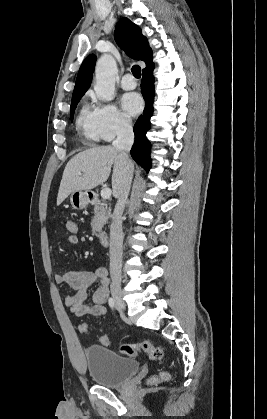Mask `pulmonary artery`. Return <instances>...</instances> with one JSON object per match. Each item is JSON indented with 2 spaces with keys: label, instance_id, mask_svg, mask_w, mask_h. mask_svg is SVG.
I'll return each mask as SVG.
<instances>
[{
  "label": "pulmonary artery",
  "instance_id": "pulmonary-artery-1",
  "mask_svg": "<svg viewBox=\"0 0 267 419\" xmlns=\"http://www.w3.org/2000/svg\"><path fill=\"white\" fill-rule=\"evenodd\" d=\"M137 83L132 74L127 73L121 79V87L125 90H131L136 87Z\"/></svg>",
  "mask_w": 267,
  "mask_h": 419
}]
</instances>
